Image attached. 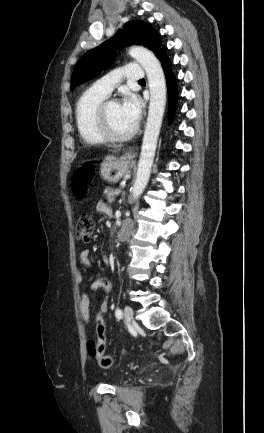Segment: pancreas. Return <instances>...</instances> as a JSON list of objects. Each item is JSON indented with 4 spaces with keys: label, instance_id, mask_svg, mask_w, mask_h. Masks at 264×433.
Instances as JSON below:
<instances>
[{
    "label": "pancreas",
    "instance_id": "cf45deb5",
    "mask_svg": "<svg viewBox=\"0 0 264 433\" xmlns=\"http://www.w3.org/2000/svg\"><path fill=\"white\" fill-rule=\"evenodd\" d=\"M104 194L106 195L108 202L113 203L116 197L115 194V190L110 188V187H106V189L104 190Z\"/></svg>",
    "mask_w": 264,
    "mask_h": 433
}]
</instances>
